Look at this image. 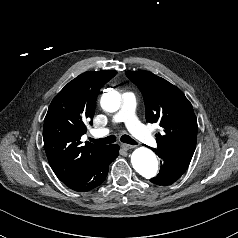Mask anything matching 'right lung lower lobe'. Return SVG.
<instances>
[{"mask_svg":"<svg viewBox=\"0 0 238 238\" xmlns=\"http://www.w3.org/2000/svg\"><path fill=\"white\" fill-rule=\"evenodd\" d=\"M118 154V145H108L100 150L78 173L62 182L77 192L90 191L105 180L109 164L117 158Z\"/></svg>","mask_w":238,"mask_h":238,"instance_id":"right-lung-lower-lobe-1","label":"right lung lower lobe"}]
</instances>
